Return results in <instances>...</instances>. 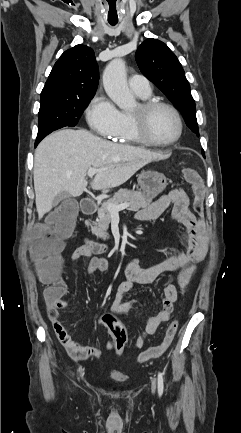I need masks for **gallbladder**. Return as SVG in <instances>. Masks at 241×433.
<instances>
[{
	"mask_svg": "<svg viewBox=\"0 0 241 433\" xmlns=\"http://www.w3.org/2000/svg\"><path fill=\"white\" fill-rule=\"evenodd\" d=\"M60 201H65V202H69L68 207L66 206L68 213L75 218L78 214L79 211V205L78 202L76 200H71V195L68 192H61L59 193L53 200V204L56 205L58 204Z\"/></svg>",
	"mask_w": 241,
	"mask_h": 433,
	"instance_id": "gallbladder-1",
	"label": "gallbladder"
}]
</instances>
